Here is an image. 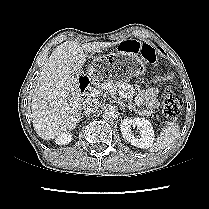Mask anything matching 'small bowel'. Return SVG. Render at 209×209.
Here are the masks:
<instances>
[{"mask_svg":"<svg viewBox=\"0 0 209 209\" xmlns=\"http://www.w3.org/2000/svg\"><path fill=\"white\" fill-rule=\"evenodd\" d=\"M133 86L136 89H142L137 98L139 104L145 105L150 110H153L158 106L159 91L155 87L143 89L146 86V79L143 76H136L133 79Z\"/></svg>","mask_w":209,"mask_h":209,"instance_id":"obj_1","label":"small bowel"}]
</instances>
